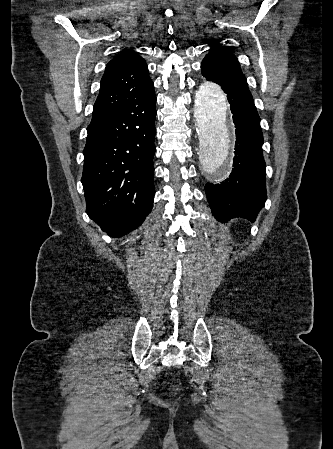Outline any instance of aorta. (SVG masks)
<instances>
[{"label": "aorta", "instance_id": "762f6f07", "mask_svg": "<svg viewBox=\"0 0 333 449\" xmlns=\"http://www.w3.org/2000/svg\"><path fill=\"white\" fill-rule=\"evenodd\" d=\"M195 118L202 138L198 164L218 179L231 163L234 132L230 124L229 101L212 82L200 85L195 97Z\"/></svg>", "mask_w": 333, "mask_h": 449}]
</instances>
